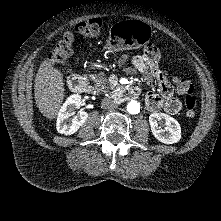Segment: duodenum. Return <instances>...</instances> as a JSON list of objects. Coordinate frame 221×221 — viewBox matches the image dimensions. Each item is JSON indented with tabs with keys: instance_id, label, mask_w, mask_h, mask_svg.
<instances>
[{
	"instance_id": "duodenum-1",
	"label": "duodenum",
	"mask_w": 221,
	"mask_h": 221,
	"mask_svg": "<svg viewBox=\"0 0 221 221\" xmlns=\"http://www.w3.org/2000/svg\"><path fill=\"white\" fill-rule=\"evenodd\" d=\"M68 87L72 92L84 93L88 89V82L78 73L71 74L68 78ZM140 90L136 86H127L118 93V98L122 101L135 99L139 96Z\"/></svg>"
}]
</instances>
